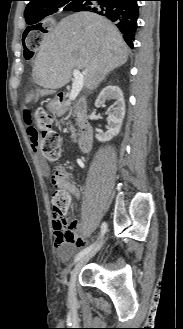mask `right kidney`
I'll list each match as a JSON object with an SVG mask.
<instances>
[{"label":"right kidney","mask_w":183,"mask_h":329,"mask_svg":"<svg viewBox=\"0 0 183 329\" xmlns=\"http://www.w3.org/2000/svg\"><path fill=\"white\" fill-rule=\"evenodd\" d=\"M106 100H115L107 110L108 131L106 133H98L95 135L100 142L110 141L114 136L118 135L125 116V101L122 90L118 86L108 85L100 92L96 99L95 106L97 108H104Z\"/></svg>","instance_id":"obj_1"}]
</instances>
